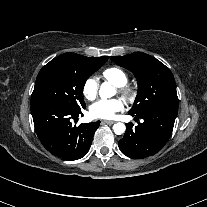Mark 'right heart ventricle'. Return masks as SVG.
Here are the masks:
<instances>
[{
    "mask_svg": "<svg viewBox=\"0 0 207 207\" xmlns=\"http://www.w3.org/2000/svg\"><path fill=\"white\" fill-rule=\"evenodd\" d=\"M101 76L117 87H124L128 83L127 74L118 67H109L103 70Z\"/></svg>",
    "mask_w": 207,
    "mask_h": 207,
    "instance_id": "e07e8e85",
    "label": "right heart ventricle"
}]
</instances>
